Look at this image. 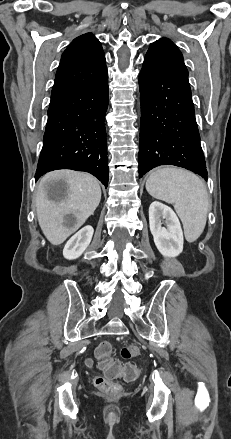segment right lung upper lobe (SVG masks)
<instances>
[{
  "mask_svg": "<svg viewBox=\"0 0 231 439\" xmlns=\"http://www.w3.org/2000/svg\"><path fill=\"white\" fill-rule=\"evenodd\" d=\"M107 74L101 43L91 33L75 38L63 52L51 102L90 85Z\"/></svg>",
  "mask_w": 231,
  "mask_h": 439,
  "instance_id": "1",
  "label": "right lung upper lobe"
}]
</instances>
